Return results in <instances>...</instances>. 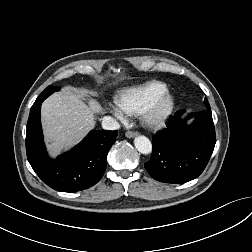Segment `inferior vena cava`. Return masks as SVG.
Returning a JSON list of instances; mask_svg holds the SVG:
<instances>
[{
	"label": "inferior vena cava",
	"mask_w": 252,
	"mask_h": 252,
	"mask_svg": "<svg viewBox=\"0 0 252 252\" xmlns=\"http://www.w3.org/2000/svg\"><path fill=\"white\" fill-rule=\"evenodd\" d=\"M102 127L106 130H118L120 125L114 118L105 116L102 118Z\"/></svg>",
	"instance_id": "inferior-vena-cava-1"
}]
</instances>
